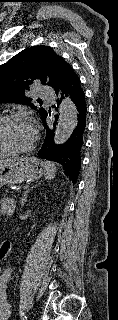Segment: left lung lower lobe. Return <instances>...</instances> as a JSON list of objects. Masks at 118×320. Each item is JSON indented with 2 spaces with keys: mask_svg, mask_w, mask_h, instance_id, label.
<instances>
[{
  "mask_svg": "<svg viewBox=\"0 0 118 320\" xmlns=\"http://www.w3.org/2000/svg\"><path fill=\"white\" fill-rule=\"evenodd\" d=\"M56 94L61 96L60 100L64 99V97H69L75 104L77 108V125L69 139L64 144L57 145L54 143V128L56 127L57 116H55L53 127L48 126L46 122L47 113L42 117L46 137L37 155L39 158L60 163L64 167L66 176L71 181L76 182L81 166V150L86 129L87 107L80 79L74 71L70 73L59 90L56 91Z\"/></svg>",
  "mask_w": 118,
  "mask_h": 320,
  "instance_id": "obj_1",
  "label": "left lung lower lobe"
}]
</instances>
